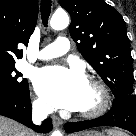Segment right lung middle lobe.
Segmentation results:
<instances>
[{"mask_svg": "<svg viewBox=\"0 0 136 136\" xmlns=\"http://www.w3.org/2000/svg\"><path fill=\"white\" fill-rule=\"evenodd\" d=\"M15 68V63L0 64V96H18L28 89L26 79Z\"/></svg>", "mask_w": 136, "mask_h": 136, "instance_id": "1", "label": "right lung middle lobe"}]
</instances>
